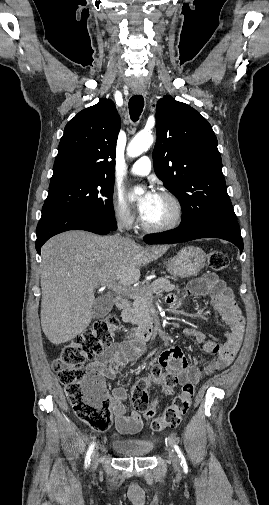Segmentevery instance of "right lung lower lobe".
I'll list each match as a JSON object with an SVG mask.
<instances>
[{"label": "right lung lower lobe", "mask_w": 269, "mask_h": 505, "mask_svg": "<svg viewBox=\"0 0 269 505\" xmlns=\"http://www.w3.org/2000/svg\"><path fill=\"white\" fill-rule=\"evenodd\" d=\"M86 230L105 235L114 229L88 217L66 211L43 215L38 223L36 250L40 254L41 246L52 236L68 230ZM116 230V229H115Z\"/></svg>", "instance_id": "1"}]
</instances>
